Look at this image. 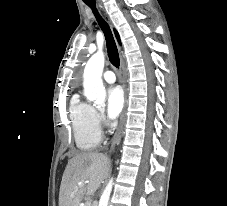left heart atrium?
I'll list each match as a JSON object with an SVG mask.
<instances>
[{"instance_id": "left-heart-atrium-1", "label": "left heart atrium", "mask_w": 227, "mask_h": 206, "mask_svg": "<svg viewBox=\"0 0 227 206\" xmlns=\"http://www.w3.org/2000/svg\"><path fill=\"white\" fill-rule=\"evenodd\" d=\"M124 106V96L119 86L111 87L107 91V114L110 119H115Z\"/></svg>"}]
</instances>
